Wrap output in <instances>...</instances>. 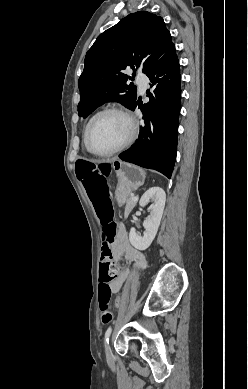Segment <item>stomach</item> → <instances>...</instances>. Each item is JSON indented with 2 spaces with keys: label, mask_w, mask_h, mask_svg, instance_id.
<instances>
[{
  "label": "stomach",
  "mask_w": 248,
  "mask_h": 389,
  "mask_svg": "<svg viewBox=\"0 0 248 389\" xmlns=\"http://www.w3.org/2000/svg\"><path fill=\"white\" fill-rule=\"evenodd\" d=\"M113 167L118 177L115 197L119 204H124L133 191L137 190L145 180V171L133 164L114 161Z\"/></svg>",
  "instance_id": "1"
}]
</instances>
